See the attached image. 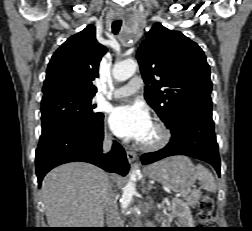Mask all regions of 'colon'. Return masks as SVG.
I'll return each mask as SVG.
<instances>
[{"label":"colon","mask_w":252,"mask_h":231,"mask_svg":"<svg viewBox=\"0 0 252 231\" xmlns=\"http://www.w3.org/2000/svg\"><path fill=\"white\" fill-rule=\"evenodd\" d=\"M198 222L202 225L210 223L214 210V200L209 194H204L198 203Z\"/></svg>","instance_id":"1"}]
</instances>
